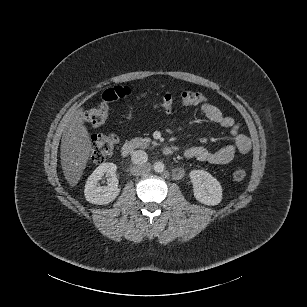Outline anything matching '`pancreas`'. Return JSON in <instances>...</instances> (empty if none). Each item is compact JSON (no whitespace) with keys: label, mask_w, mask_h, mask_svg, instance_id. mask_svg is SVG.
I'll list each match as a JSON object with an SVG mask.
<instances>
[{"label":"pancreas","mask_w":307,"mask_h":307,"mask_svg":"<svg viewBox=\"0 0 307 307\" xmlns=\"http://www.w3.org/2000/svg\"><path fill=\"white\" fill-rule=\"evenodd\" d=\"M141 141L143 142V144L148 145L151 143V139L149 138H142Z\"/></svg>","instance_id":"1"}]
</instances>
